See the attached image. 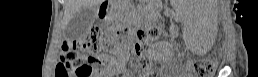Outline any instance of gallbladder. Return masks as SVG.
I'll return each mask as SVG.
<instances>
[{
  "mask_svg": "<svg viewBox=\"0 0 258 77\" xmlns=\"http://www.w3.org/2000/svg\"><path fill=\"white\" fill-rule=\"evenodd\" d=\"M97 7L82 8L70 20L65 29L66 38L74 40L86 34L96 18Z\"/></svg>",
  "mask_w": 258,
  "mask_h": 77,
  "instance_id": "bac80fb5",
  "label": "gallbladder"
}]
</instances>
